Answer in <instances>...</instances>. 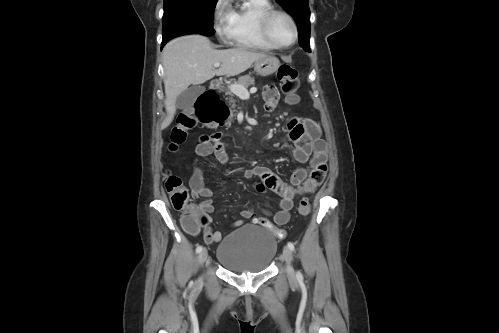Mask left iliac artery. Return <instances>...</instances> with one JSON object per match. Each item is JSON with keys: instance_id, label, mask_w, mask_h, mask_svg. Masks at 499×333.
Wrapping results in <instances>:
<instances>
[{"instance_id": "left-iliac-artery-1", "label": "left iliac artery", "mask_w": 499, "mask_h": 333, "mask_svg": "<svg viewBox=\"0 0 499 333\" xmlns=\"http://www.w3.org/2000/svg\"><path fill=\"white\" fill-rule=\"evenodd\" d=\"M288 248L291 250V251H294L295 250V247H294V244L292 242H288L287 244ZM296 277L298 280H302L303 279V275L301 272H297L296 274Z\"/></svg>"}]
</instances>
